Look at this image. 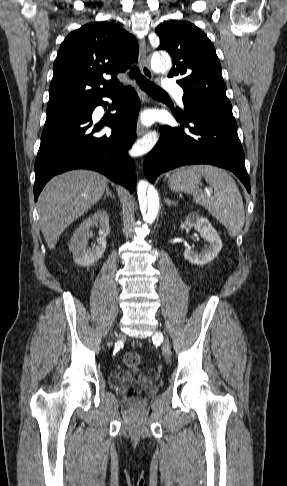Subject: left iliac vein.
<instances>
[{
  "instance_id": "4c4485c4",
  "label": "left iliac vein",
  "mask_w": 287,
  "mask_h": 486,
  "mask_svg": "<svg viewBox=\"0 0 287 486\" xmlns=\"http://www.w3.org/2000/svg\"><path fill=\"white\" fill-rule=\"evenodd\" d=\"M154 337L157 339V340H160V339H163V334L160 332V331H157L154 335ZM162 352H163V355L165 356V358H169L170 357V354H171V350H170V344H169V341L167 339H164L163 340V344H162Z\"/></svg>"
}]
</instances>
